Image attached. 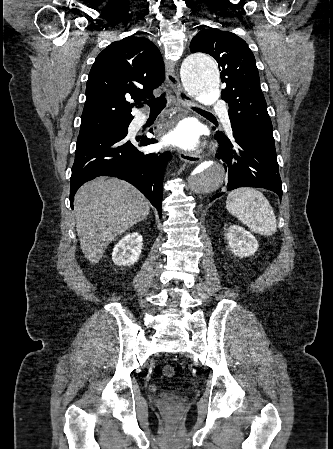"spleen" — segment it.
<instances>
[{
	"mask_svg": "<svg viewBox=\"0 0 333 449\" xmlns=\"http://www.w3.org/2000/svg\"><path fill=\"white\" fill-rule=\"evenodd\" d=\"M226 208L255 233L268 236L277 230L272 206L257 189L240 187L231 191L227 196Z\"/></svg>",
	"mask_w": 333,
	"mask_h": 449,
	"instance_id": "1",
	"label": "spleen"
}]
</instances>
